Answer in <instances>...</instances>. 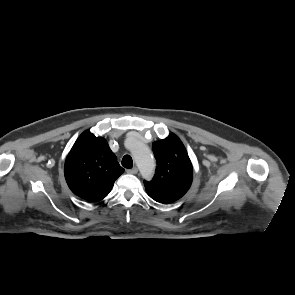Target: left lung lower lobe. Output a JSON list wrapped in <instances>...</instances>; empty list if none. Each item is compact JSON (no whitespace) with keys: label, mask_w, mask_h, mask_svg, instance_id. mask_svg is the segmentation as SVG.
<instances>
[{"label":"left lung lower lobe","mask_w":295,"mask_h":295,"mask_svg":"<svg viewBox=\"0 0 295 295\" xmlns=\"http://www.w3.org/2000/svg\"><path fill=\"white\" fill-rule=\"evenodd\" d=\"M152 199H153V198H152ZM153 200H155V199H153ZM155 201L159 202L158 200H155ZM159 203H162V202H159ZM162 204H164V203H162Z\"/></svg>","instance_id":"0a47b994"}]
</instances>
